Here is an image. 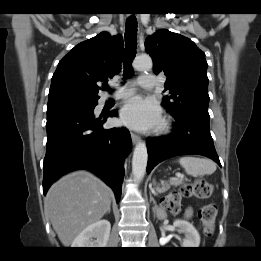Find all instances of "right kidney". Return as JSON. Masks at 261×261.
<instances>
[{"label": "right kidney", "mask_w": 261, "mask_h": 261, "mask_svg": "<svg viewBox=\"0 0 261 261\" xmlns=\"http://www.w3.org/2000/svg\"><path fill=\"white\" fill-rule=\"evenodd\" d=\"M111 224L100 220L87 226L73 241V248H104L109 240Z\"/></svg>", "instance_id": "ca27d5eb"}]
</instances>
